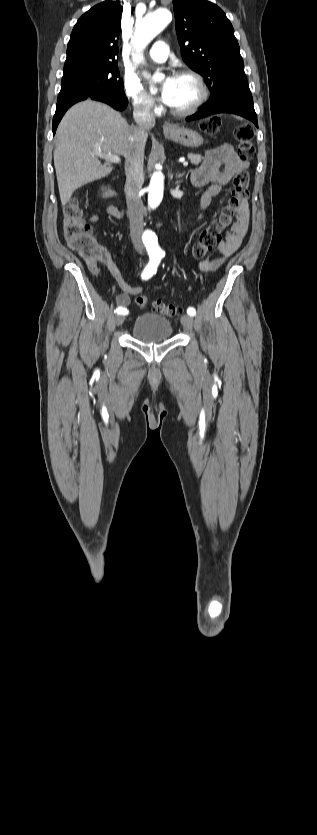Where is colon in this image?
I'll list each match as a JSON object with an SVG mask.
<instances>
[{"label":"colon","mask_w":317,"mask_h":835,"mask_svg":"<svg viewBox=\"0 0 317 835\" xmlns=\"http://www.w3.org/2000/svg\"><path fill=\"white\" fill-rule=\"evenodd\" d=\"M221 122L218 118H208L201 123V129L209 135H215L220 130ZM237 141L238 157L249 162L255 159L256 151L253 144L254 131L249 125H242L234 131ZM250 176L248 172L241 171L235 175L232 183L231 195L221 210L218 217L213 219L204 228L198 240L191 247V255L194 259L203 258L221 240L222 232L232 223L235 215L244 207L249 197ZM63 231L70 247L78 252L84 259H91L98 250L96 242L91 234L89 224L82 217V209L78 198H71L62 209ZM136 305L146 307L148 298L144 295L136 297ZM155 312L174 317L179 313V308L174 304H166L160 300L152 302Z\"/></svg>","instance_id":"colon-1"}]
</instances>
